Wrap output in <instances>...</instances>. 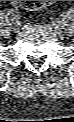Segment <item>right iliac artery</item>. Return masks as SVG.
<instances>
[{
    "label": "right iliac artery",
    "instance_id": "right-iliac-artery-1",
    "mask_svg": "<svg viewBox=\"0 0 74 122\" xmlns=\"http://www.w3.org/2000/svg\"><path fill=\"white\" fill-rule=\"evenodd\" d=\"M9 14H10V16H12V17L15 18V10H14V9H11V10L9 11Z\"/></svg>",
    "mask_w": 74,
    "mask_h": 122
}]
</instances>
